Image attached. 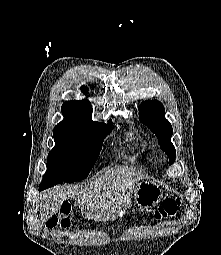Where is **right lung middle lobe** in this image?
<instances>
[{
  "instance_id": "right-lung-middle-lobe-1",
  "label": "right lung middle lobe",
  "mask_w": 221,
  "mask_h": 255,
  "mask_svg": "<svg viewBox=\"0 0 221 255\" xmlns=\"http://www.w3.org/2000/svg\"><path fill=\"white\" fill-rule=\"evenodd\" d=\"M111 123V120L108 124L100 123L93 131L56 126L53 129L55 147L48 154L47 171L40 186L52 187L85 179L98 158Z\"/></svg>"
}]
</instances>
